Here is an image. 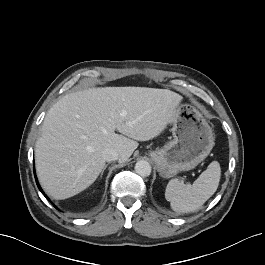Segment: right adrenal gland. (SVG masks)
<instances>
[{"instance_id": "2a0ac1e0", "label": "right adrenal gland", "mask_w": 265, "mask_h": 265, "mask_svg": "<svg viewBox=\"0 0 265 265\" xmlns=\"http://www.w3.org/2000/svg\"><path fill=\"white\" fill-rule=\"evenodd\" d=\"M107 166H108V165H105V167L103 168V170H102V172H101V175H100V178H102V175H103L105 169L107 168Z\"/></svg>"}]
</instances>
